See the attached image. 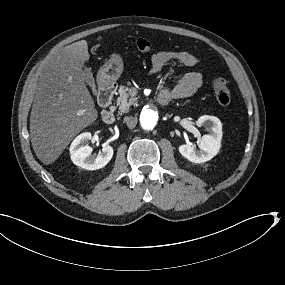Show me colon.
<instances>
[{"mask_svg": "<svg viewBox=\"0 0 285 285\" xmlns=\"http://www.w3.org/2000/svg\"><path fill=\"white\" fill-rule=\"evenodd\" d=\"M131 44L134 48L141 52L147 53L152 50L151 42L142 37L132 38ZM213 90L216 100L221 105H228L232 101L231 89L227 86L223 78L217 77L213 80Z\"/></svg>", "mask_w": 285, "mask_h": 285, "instance_id": "obj_1", "label": "colon"}]
</instances>
